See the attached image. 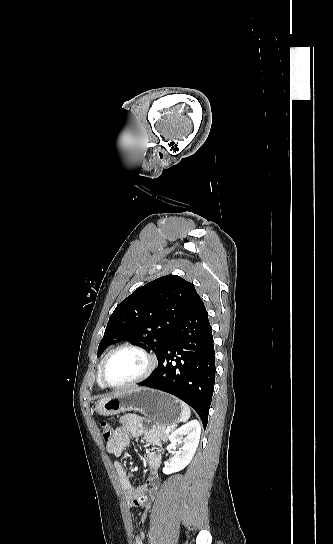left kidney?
I'll use <instances>...</instances> for the list:
<instances>
[{
	"mask_svg": "<svg viewBox=\"0 0 333 544\" xmlns=\"http://www.w3.org/2000/svg\"><path fill=\"white\" fill-rule=\"evenodd\" d=\"M201 433V426L193 420L173 431L169 437L171 445L176 448L181 445L170 461V465L163 468L164 474H171L184 469L192 460L197 449ZM183 436H186L184 440Z\"/></svg>",
	"mask_w": 333,
	"mask_h": 544,
	"instance_id": "5707ae66",
	"label": "left kidney"
}]
</instances>
